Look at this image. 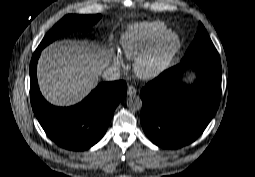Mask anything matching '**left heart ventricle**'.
Listing matches in <instances>:
<instances>
[{"label":"left heart ventricle","mask_w":255,"mask_h":177,"mask_svg":"<svg viewBox=\"0 0 255 177\" xmlns=\"http://www.w3.org/2000/svg\"><path fill=\"white\" fill-rule=\"evenodd\" d=\"M173 46V41H167L162 45V47L155 53V55L148 61L147 67L154 66L165 54L168 50Z\"/></svg>","instance_id":"obj_1"}]
</instances>
